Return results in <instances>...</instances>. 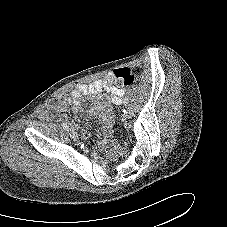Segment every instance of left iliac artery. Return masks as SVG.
Returning a JSON list of instances; mask_svg holds the SVG:
<instances>
[{"label": "left iliac artery", "mask_w": 227, "mask_h": 227, "mask_svg": "<svg viewBox=\"0 0 227 227\" xmlns=\"http://www.w3.org/2000/svg\"><path fill=\"white\" fill-rule=\"evenodd\" d=\"M123 103H124L125 106H129L130 105L128 98H125Z\"/></svg>", "instance_id": "44dca946"}]
</instances>
